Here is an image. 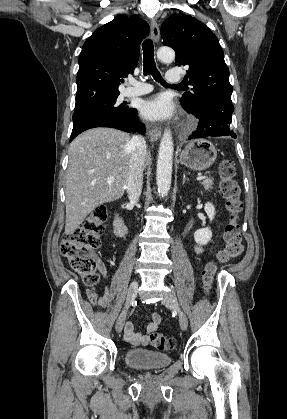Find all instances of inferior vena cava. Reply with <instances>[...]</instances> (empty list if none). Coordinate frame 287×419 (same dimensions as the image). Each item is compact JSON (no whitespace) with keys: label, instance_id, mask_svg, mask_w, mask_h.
<instances>
[{"label":"inferior vena cava","instance_id":"inferior-vena-cava-1","mask_svg":"<svg viewBox=\"0 0 287 419\" xmlns=\"http://www.w3.org/2000/svg\"><path fill=\"white\" fill-rule=\"evenodd\" d=\"M132 155L130 159L129 176L127 181V194L130 204L134 205L142 192L143 167L146 157V141L143 137L135 135L130 140Z\"/></svg>","mask_w":287,"mask_h":419}]
</instances>
